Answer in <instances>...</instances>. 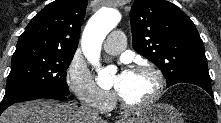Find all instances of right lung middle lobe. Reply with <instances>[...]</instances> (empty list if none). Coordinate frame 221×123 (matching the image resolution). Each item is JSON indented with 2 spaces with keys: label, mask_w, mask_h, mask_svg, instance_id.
<instances>
[{
  "label": "right lung middle lobe",
  "mask_w": 221,
  "mask_h": 123,
  "mask_svg": "<svg viewBox=\"0 0 221 123\" xmlns=\"http://www.w3.org/2000/svg\"><path fill=\"white\" fill-rule=\"evenodd\" d=\"M73 55L37 49L15 51L2 105L34 100L51 91L69 95L66 70Z\"/></svg>",
  "instance_id": "1"
}]
</instances>
